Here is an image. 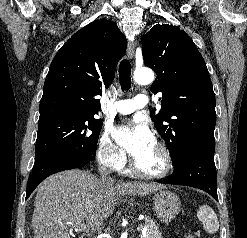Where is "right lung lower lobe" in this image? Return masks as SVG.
Segmentation results:
<instances>
[{
	"mask_svg": "<svg viewBox=\"0 0 247 238\" xmlns=\"http://www.w3.org/2000/svg\"><path fill=\"white\" fill-rule=\"evenodd\" d=\"M91 163L92 161L89 159L76 158L73 156H57L41 162L33 168L32 176L27 185L26 199L38 184L49 175L64 170L85 167Z\"/></svg>",
	"mask_w": 247,
	"mask_h": 238,
	"instance_id": "1",
	"label": "right lung lower lobe"
}]
</instances>
